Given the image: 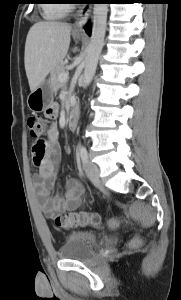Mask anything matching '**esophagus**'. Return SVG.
<instances>
[{
	"label": "esophagus",
	"instance_id": "34e87169",
	"mask_svg": "<svg viewBox=\"0 0 181 300\" xmlns=\"http://www.w3.org/2000/svg\"><path fill=\"white\" fill-rule=\"evenodd\" d=\"M92 5L87 4L82 7L76 12L75 14V22L73 25V32L78 34H85L84 26L88 20V17L91 12Z\"/></svg>",
	"mask_w": 181,
	"mask_h": 300
}]
</instances>
